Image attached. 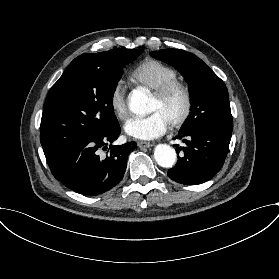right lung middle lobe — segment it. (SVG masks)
I'll use <instances>...</instances> for the list:
<instances>
[{
	"label": "right lung middle lobe",
	"instance_id": "obj_1",
	"mask_svg": "<svg viewBox=\"0 0 279 279\" xmlns=\"http://www.w3.org/2000/svg\"><path fill=\"white\" fill-rule=\"evenodd\" d=\"M142 49H118L98 63L80 55L50 89L44 104L40 142L47 155L57 147L103 134L118 124L113 94L125 67Z\"/></svg>",
	"mask_w": 279,
	"mask_h": 279
}]
</instances>
